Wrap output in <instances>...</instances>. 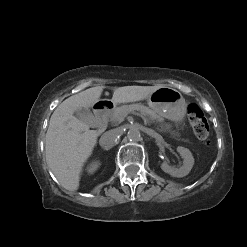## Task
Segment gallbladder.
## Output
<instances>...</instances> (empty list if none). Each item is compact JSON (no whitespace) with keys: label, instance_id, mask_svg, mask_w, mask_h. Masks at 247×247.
<instances>
[{"label":"gallbladder","instance_id":"1","mask_svg":"<svg viewBox=\"0 0 247 247\" xmlns=\"http://www.w3.org/2000/svg\"><path fill=\"white\" fill-rule=\"evenodd\" d=\"M74 114L76 118H78L79 120L85 122L86 124L90 126L93 125L94 116L89 109L87 108L77 109Z\"/></svg>","mask_w":247,"mask_h":247}]
</instances>
